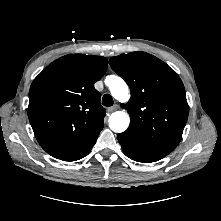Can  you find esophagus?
Wrapping results in <instances>:
<instances>
[{"label":"esophagus","instance_id":"34e87169","mask_svg":"<svg viewBox=\"0 0 221 221\" xmlns=\"http://www.w3.org/2000/svg\"><path fill=\"white\" fill-rule=\"evenodd\" d=\"M118 108H119V106H118L117 104H115V105H113L112 107H109V108L107 109V111H108V112H113V111L117 110Z\"/></svg>","mask_w":221,"mask_h":221}]
</instances>
